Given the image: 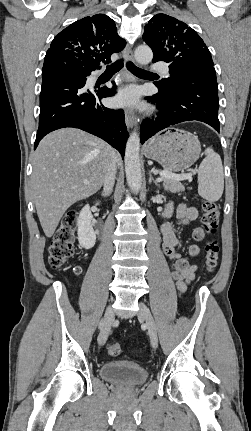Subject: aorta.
<instances>
[{"instance_id": "1", "label": "aorta", "mask_w": 251, "mask_h": 431, "mask_svg": "<svg viewBox=\"0 0 251 431\" xmlns=\"http://www.w3.org/2000/svg\"><path fill=\"white\" fill-rule=\"evenodd\" d=\"M152 50L146 45H140L135 50V59L141 65H146L152 61ZM140 137L133 131L127 141L125 149V172L129 187L138 193L142 185L141 164H140Z\"/></svg>"}]
</instances>
